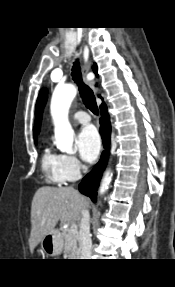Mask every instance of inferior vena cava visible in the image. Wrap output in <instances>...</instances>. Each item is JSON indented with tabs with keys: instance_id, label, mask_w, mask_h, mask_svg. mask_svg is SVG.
<instances>
[{
	"instance_id": "1",
	"label": "inferior vena cava",
	"mask_w": 175,
	"mask_h": 287,
	"mask_svg": "<svg viewBox=\"0 0 175 287\" xmlns=\"http://www.w3.org/2000/svg\"><path fill=\"white\" fill-rule=\"evenodd\" d=\"M69 188L73 189L72 187H69ZM81 215H82V218H81L80 231H79V238L81 242L80 259H90L92 241L90 237L89 211L84 208L81 210Z\"/></svg>"
}]
</instances>
